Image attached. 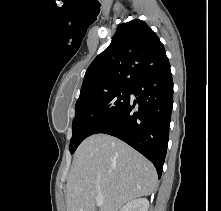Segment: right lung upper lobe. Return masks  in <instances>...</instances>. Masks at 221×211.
<instances>
[{
	"instance_id": "right-lung-upper-lobe-1",
	"label": "right lung upper lobe",
	"mask_w": 221,
	"mask_h": 211,
	"mask_svg": "<svg viewBox=\"0 0 221 211\" xmlns=\"http://www.w3.org/2000/svg\"><path fill=\"white\" fill-rule=\"evenodd\" d=\"M169 66L163 44L144 21L123 23L107 49L88 67L79 99L130 88L139 79Z\"/></svg>"
}]
</instances>
